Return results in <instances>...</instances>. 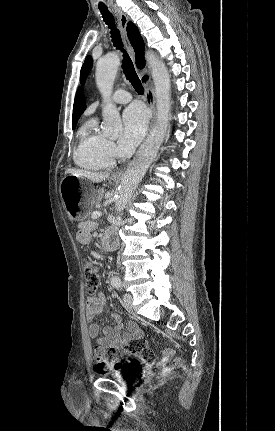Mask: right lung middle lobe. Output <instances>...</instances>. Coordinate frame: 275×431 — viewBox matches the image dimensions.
Returning <instances> with one entry per match:
<instances>
[{"mask_svg":"<svg viewBox=\"0 0 275 431\" xmlns=\"http://www.w3.org/2000/svg\"><path fill=\"white\" fill-rule=\"evenodd\" d=\"M72 127L74 128V127H75V124H74V125H72Z\"/></svg>","mask_w":275,"mask_h":431,"instance_id":"right-lung-middle-lobe-1","label":"right lung middle lobe"}]
</instances>
